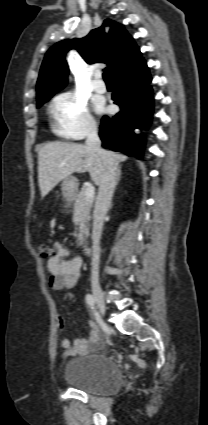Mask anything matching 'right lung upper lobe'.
<instances>
[{"label":"right lung upper lobe","mask_w":208,"mask_h":425,"mask_svg":"<svg viewBox=\"0 0 208 425\" xmlns=\"http://www.w3.org/2000/svg\"><path fill=\"white\" fill-rule=\"evenodd\" d=\"M71 49H76L89 64L106 63L105 70L112 79L142 59L134 39L123 26L105 19L86 37L60 41L48 50L37 81V103L66 85L69 70L65 54Z\"/></svg>","instance_id":"obj_1"}]
</instances>
